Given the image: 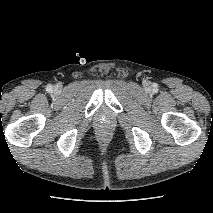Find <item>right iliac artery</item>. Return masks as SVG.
I'll return each instance as SVG.
<instances>
[{
	"mask_svg": "<svg viewBox=\"0 0 213 213\" xmlns=\"http://www.w3.org/2000/svg\"><path fill=\"white\" fill-rule=\"evenodd\" d=\"M46 90H47L48 92H51V91L53 90V87H52L51 85H48L47 88H46Z\"/></svg>",
	"mask_w": 213,
	"mask_h": 213,
	"instance_id": "obj_1",
	"label": "right iliac artery"
}]
</instances>
